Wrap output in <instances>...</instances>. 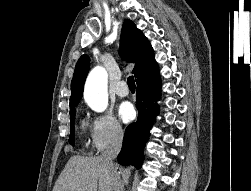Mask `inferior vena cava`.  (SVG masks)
<instances>
[{"label": "inferior vena cava", "instance_id": "1", "mask_svg": "<svg viewBox=\"0 0 251 191\" xmlns=\"http://www.w3.org/2000/svg\"><path fill=\"white\" fill-rule=\"evenodd\" d=\"M122 139V129H120V127H114L110 145H108L107 149H105V151H103L101 155L102 159H104L106 163H109V165H112V159H115V157H117L122 147ZM114 181L118 185V189H116V191H123V185H121L120 177L119 175H117V173H114Z\"/></svg>", "mask_w": 251, "mask_h": 191}]
</instances>
